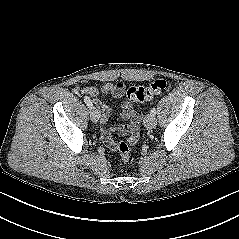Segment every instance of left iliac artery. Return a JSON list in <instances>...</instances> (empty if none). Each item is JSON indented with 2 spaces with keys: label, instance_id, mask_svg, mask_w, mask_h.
I'll return each mask as SVG.
<instances>
[{
  "label": "left iliac artery",
  "instance_id": "44dca946",
  "mask_svg": "<svg viewBox=\"0 0 239 239\" xmlns=\"http://www.w3.org/2000/svg\"><path fill=\"white\" fill-rule=\"evenodd\" d=\"M150 114H152L153 116L156 115V109H155L154 107L151 108V110H150Z\"/></svg>",
  "mask_w": 239,
  "mask_h": 239
}]
</instances>
